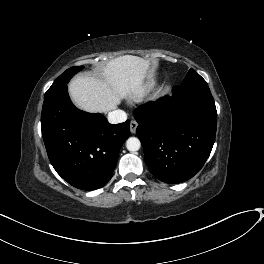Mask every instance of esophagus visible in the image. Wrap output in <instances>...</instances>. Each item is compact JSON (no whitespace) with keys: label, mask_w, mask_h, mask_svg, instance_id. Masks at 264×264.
<instances>
[{"label":"esophagus","mask_w":264,"mask_h":264,"mask_svg":"<svg viewBox=\"0 0 264 264\" xmlns=\"http://www.w3.org/2000/svg\"><path fill=\"white\" fill-rule=\"evenodd\" d=\"M137 126H138L137 122L132 120L130 122V132L134 134L136 132Z\"/></svg>","instance_id":"34e87169"}]
</instances>
